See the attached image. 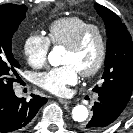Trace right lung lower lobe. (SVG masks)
<instances>
[{
    "label": "right lung lower lobe",
    "instance_id": "right-lung-lower-lobe-1",
    "mask_svg": "<svg viewBox=\"0 0 133 133\" xmlns=\"http://www.w3.org/2000/svg\"><path fill=\"white\" fill-rule=\"evenodd\" d=\"M30 101L16 97L13 90L0 95V132H20L26 129L46 98L31 95Z\"/></svg>",
    "mask_w": 133,
    "mask_h": 133
}]
</instances>
